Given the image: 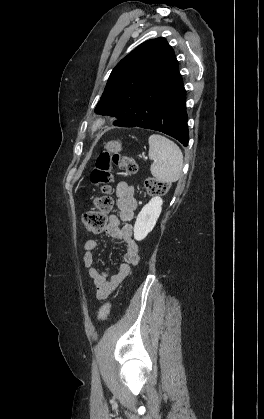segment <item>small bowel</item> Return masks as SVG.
<instances>
[{
	"label": "small bowel",
	"mask_w": 264,
	"mask_h": 419,
	"mask_svg": "<svg viewBox=\"0 0 264 419\" xmlns=\"http://www.w3.org/2000/svg\"><path fill=\"white\" fill-rule=\"evenodd\" d=\"M115 194L119 213L108 217L104 230L116 242L124 245L126 248L117 271L110 275L93 267L98 241L89 239L84 243V264L88 268L89 276L96 286V297L98 300H104L112 294L139 263V246L133 238V226L131 224L137 207L134 188L127 182L120 181L116 185Z\"/></svg>",
	"instance_id": "1"
}]
</instances>
